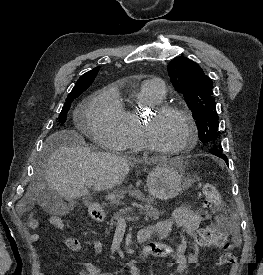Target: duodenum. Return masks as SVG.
I'll list each match as a JSON object with an SVG mask.
<instances>
[{"instance_id":"410a0bca","label":"duodenum","mask_w":263,"mask_h":275,"mask_svg":"<svg viewBox=\"0 0 263 275\" xmlns=\"http://www.w3.org/2000/svg\"><path fill=\"white\" fill-rule=\"evenodd\" d=\"M89 211H90L91 217L95 221H101L103 219V216L94 207H90ZM139 241L140 242H144V238L143 237H139ZM143 255H148V253L144 250L143 251Z\"/></svg>"}]
</instances>
